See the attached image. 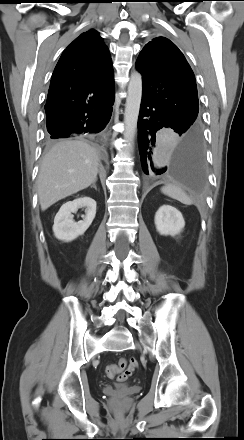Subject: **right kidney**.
I'll use <instances>...</instances> for the list:
<instances>
[{"label": "right kidney", "mask_w": 244, "mask_h": 440, "mask_svg": "<svg viewBox=\"0 0 244 440\" xmlns=\"http://www.w3.org/2000/svg\"><path fill=\"white\" fill-rule=\"evenodd\" d=\"M85 208L83 220L75 222L72 213ZM96 215V201L90 197H80L63 204L54 218V236L61 241L70 242L83 235Z\"/></svg>", "instance_id": "right-kidney-1"}]
</instances>
